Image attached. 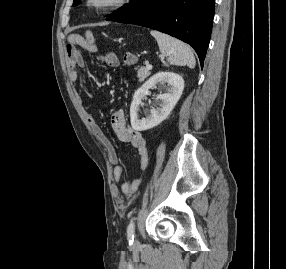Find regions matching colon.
I'll use <instances>...</instances> for the list:
<instances>
[{"instance_id": "5ec220e1", "label": "colon", "mask_w": 286, "mask_h": 269, "mask_svg": "<svg viewBox=\"0 0 286 269\" xmlns=\"http://www.w3.org/2000/svg\"><path fill=\"white\" fill-rule=\"evenodd\" d=\"M86 43H90V41H86ZM138 49H127V54H123L122 66H135V62H138ZM125 194H129L125 192Z\"/></svg>"}]
</instances>
